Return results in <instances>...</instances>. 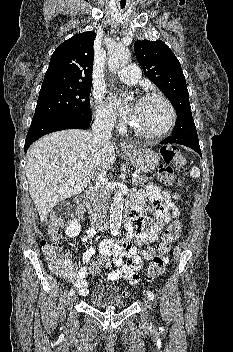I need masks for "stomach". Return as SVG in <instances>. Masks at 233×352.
Here are the masks:
<instances>
[{
    "mask_svg": "<svg viewBox=\"0 0 233 352\" xmlns=\"http://www.w3.org/2000/svg\"><path fill=\"white\" fill-rule=\"evenodd\" d=\"M123 155L138 171L148 173L154 170L159 163V155L146 147H131L129 150H122Z\"/></svg>",
    "mask_w": 233,
    "mask_h": 352,
    "instance_id": "stomach-1",
    "label": "stomach"
}]
</instances>
